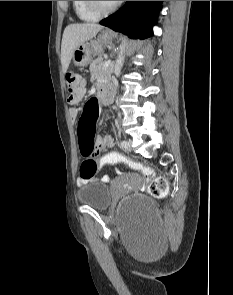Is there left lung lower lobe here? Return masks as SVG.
Returning <instances> with one entry per match:
<instances>
[{"instance_id": "1", "label": "left lung lower lobe", "mask_w": 233, "mask_h": 295, "mask_svg": "<svg viewBox=\"0 0 233 295\" xmlns=\"http://www.w3.org/2000/svg\"><path fill=\"white\" fill-rule=\"evenodd\" d=\"M161 3L162 1H127L120 10L100 21V24L130 38L150 37L153 35L152 26L156 22Z\"/></svg>"}]
</instances>
